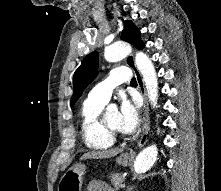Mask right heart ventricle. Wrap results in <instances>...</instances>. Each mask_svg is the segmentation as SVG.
<instances>
[{
    "instance_id": "obj_1",
    "label": "right heart ventricle",
    "mask_w": 221,
    "mask_h": 191,
    "mask_svg": "<svg viewBox=\"0 0 221 191\" xmlns=\"http://www.w3.org/2000/svg\"><path fill=\"white\" fill-rule=\"evenodd\" d=\"M105 103L86 99L81 107V132L85 145L92 149L104 150L114 144V137L100 119Z\"/></svg>"
}]
</instances>
